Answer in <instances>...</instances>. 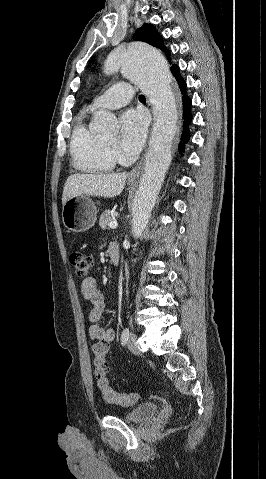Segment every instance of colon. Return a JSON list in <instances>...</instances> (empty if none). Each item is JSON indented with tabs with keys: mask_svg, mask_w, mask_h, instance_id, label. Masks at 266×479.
<instances>
[{
	"mask_svg": "<svg viewBox=\"0 0 266 479\" xmlns=\"http://www.w3.org/2000/svg\"><path fill=\"white\" fill-rule=\"evenodd\" d=\"M70 262L78 277L87 278L93 265L92 258L84 252L74 251L70 255ZM109 350L107 341H99L93 346V364L96 385L108 403L122 406L133 405L138 401V394L116 392L110 385L107 377L106 356Z\"/></svg>",
	"mask_w": 266,
	"mask_h": 479,
	"instance_id": "5ec220e1",
	"label": "colon"
}]
</instances>
